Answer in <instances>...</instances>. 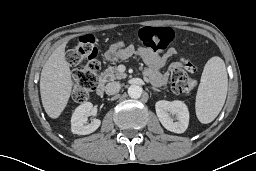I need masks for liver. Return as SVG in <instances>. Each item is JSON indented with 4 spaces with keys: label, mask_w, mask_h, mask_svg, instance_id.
<instances>
[{
    "label": "liver",
    "mask_w": 256,
    "mask_h": 171,
    "mask_svg": "<svg viewBox=\"0 0 256 171\" xmlns=\"http://www.w3.org/2000/svg\"><path fill=\"white\" fill-rule=\"evenodd\" d=\"M66 42L59 45L43 66L40 77L42 105L47 115L58 118L72 91L71 71L65 59Z\"/></svg>",
    "instance_id": "liver-1"
}]
</instances>
